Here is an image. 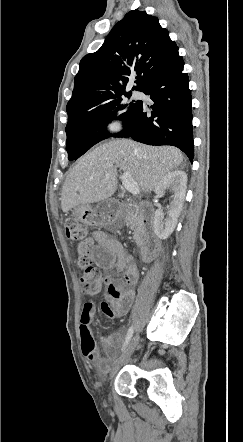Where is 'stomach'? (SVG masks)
Masks as SVG:
<instances>
[{
    "label": "stomach",
    "instance_id": "1",
    "mask_svg": "<svg viewBox=\"0 0 243 442\" xmlns=\"http://www.w3.org/2000/svg\"><path fill=\"white\" fill-rule=\"evenodd\" d=\"M73 215L80 222L90 226H109L117 219L114 212L107 208L106 203L96 207L91 204L77 206L73 209Z\"/></svg>",
    "mask_w": 243,
    "mask_h": 442
}]
</instances>
